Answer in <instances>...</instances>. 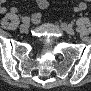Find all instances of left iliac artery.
I'll return each instance as SVG.
<instances>
[{
  "label": "left iliac artery",
  "instance_id": "obj_1",
  "mask_svg": "<svg viewBox=\"0 0 91 91\" xmlns=\"http://www.w3.org/2000/svg\"><path fill=\"white\" fill-rule=\"evenodd\" d=\"M68 27H69V28H72V27H73V24H72V23H69V24H68Z\"/></svg>",
  "mask_w": 91,
  "mask_h": 91
}]
</instances>
